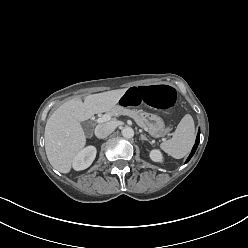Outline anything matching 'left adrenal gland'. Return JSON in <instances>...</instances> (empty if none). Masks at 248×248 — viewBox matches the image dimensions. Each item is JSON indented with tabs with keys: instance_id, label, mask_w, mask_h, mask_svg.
Segmentation results:
<instances>
[{
	"instance_id": "obj_1",
	"label": "left adrenal gland",
	"mask_w": 248,
	"mask_h": 248,
	"mask_svg": "<svg viewBox=\"0 0 248 248\" xmlns=\"http://www.w3.org/2000/svg\"><path fill=\"white\" fill-rule=\"evenodd\" d=\"M140 132H141V131H140ZM140 136H141V139H142V140H144V141H148V142L151 144L150 140H149V139H147L145 135H143V134L141 133V135H140Z\"/></svg>"
}]
</instances>
